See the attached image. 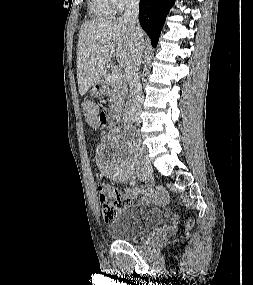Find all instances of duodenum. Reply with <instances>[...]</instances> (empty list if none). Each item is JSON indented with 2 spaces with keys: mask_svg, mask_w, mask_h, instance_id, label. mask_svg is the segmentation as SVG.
<instances>
[{
  "mask_svg": "<svg viewBox=\"0 0 253 285\" xmlns=\"http://www.w3.org/2000/svg\"><path fill=\"white\" fill-rule=\"evenodd\" d=\"M95 87H96V90H97L98 92H101V91H103V89H104V83H103V82H98ZM108 117H109V120H110L112 123H115V122H117V121L119 120V118H120V112H119V111H115V112L109 113V114H108Z\"/></svg>",
  "mask_w": 253,
  "mask_h": 285,
  "instance_id": "obj_1",
  "label": "duodenum"
}]
</instances>
